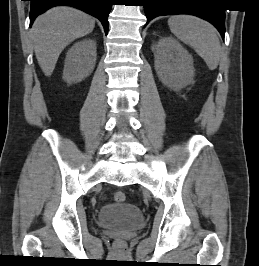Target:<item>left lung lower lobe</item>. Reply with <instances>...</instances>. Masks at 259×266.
I'll return each mask as SVG.
<instances>
[{
	"mask_svg": "<svg viewBox=\"0 0 259 266\" xmlns=\"http://www.w3.org/2000/svg\"><path fill=\"white\" fill-rule=\"evenodd\" d=\"M210 2L209 0H143V6L147 23L157 16L191 14L213 24L224 39L225 10L210 7Z\"/></svg>",
	"mask_w": 259,
	"mask_h": 266,
	"instance_id": "obj_1",
	"label": "left lung lower lobe"
}]
</instances>
